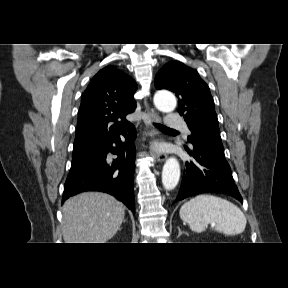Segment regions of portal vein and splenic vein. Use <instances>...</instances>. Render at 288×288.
Masks as SVG:
<instances>
[{
  "mask_svg": "<svg viewBox=\"0 0 288 288\" xmlns=\"http://www.w3.org/2000/svg\"><path fill=\"white\" fill-rule=\"evenodd\" d=\"M211 226L213 227V226H215V224H211Z\"/></svg>",
  "mask_w": 288,
  "mask_h": 288,
  "instance_id": "portal-vein-and-splenic-vein-1",
  "label": "portal vein and splenic vein"
}]
</instances>
